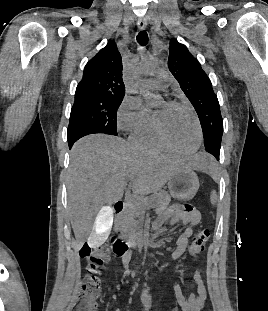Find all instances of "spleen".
I'll return each mask as SVG.
<instances>
[{
	"instance_id": "3e777b00",
	"label": "spleen",
	"mask_w": 268,
	"mask_h": 311,
	"mask_svg": "<svg viewBox=\"0 0 268 311\" xmlns=\"http://www.w3.org/2000/svg\"><path fill=\"white\" fill-rule=\"evenodd\" d=\"M210 201H211V204H213V205H215L217 203V201H218V197H217V194H216L215 190L211 191Z\"/></svg>"
}]
</instances>
